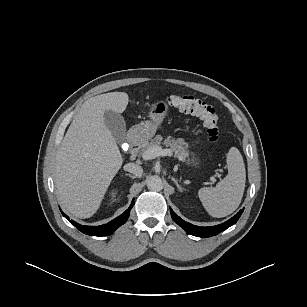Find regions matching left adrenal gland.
<instances>
[{"label":"left adrenal gland","mask_w":307,"mask_h":307,"mask_svg":"<svg viewBox=\"0 0 307 307\" xmlns=\"http://www.w3.org/2000/svg\"><path fill=\"white\" fill-rule=\"evenodd\" d=\"M171 179L180 191H186V189H184L174 177H171Z\"/></svg>","instance_id":"a2214340"}]
</instances>
